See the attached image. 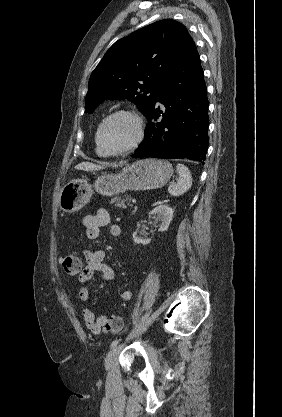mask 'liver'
<instances>
[{
	"label": "liver",
	"mask_w": 282,
	"mask_h": 417,
	"mask_svg": "<svg viewBox=\"0 0 282 417\" xmlns=\"http://www.w3.org/2000/svg\"><path fill=\"white\" fill-rule=\"evenodd\" d=\"M75 168H78V170H101L104 166H101V164H94V162H79V164H76Z\"/></svg>",
	"instance_id": "liver-1"
}]
</instances>
